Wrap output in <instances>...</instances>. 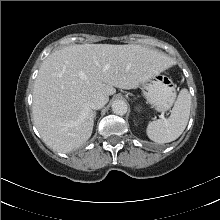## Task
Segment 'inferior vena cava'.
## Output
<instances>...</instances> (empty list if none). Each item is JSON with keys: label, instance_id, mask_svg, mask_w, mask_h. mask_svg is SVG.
<instances>
[{"label": "inferior vena cava", "instance_id": "inferior-vena-cava-1", "mask_svg": "<svg viewBox=\"0 0 220 220\" xmlns=\"http://www.w3.org/2000/svg\"><path fill=\"white\" fill-rule=\"evenodd\" d=\"M106 103V97L99 92H94L88 97V105L92 109H101Z\"/></svg>", "mask_w": 220, "mask_h": 220}]
</instances>
